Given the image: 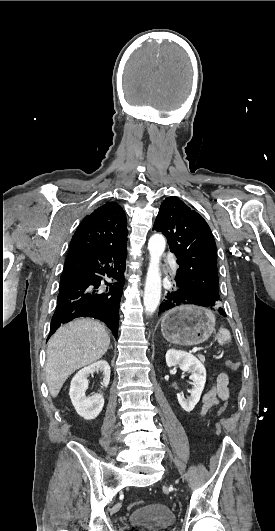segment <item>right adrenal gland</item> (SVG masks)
Masks as SVG:
<instances>
[{
  "label": "right adrenal gland",
  "mask_w": 275,
  "mask_h": 531,
  "mask_svg": "<svg viewBox=\"0 0 275 531\" xmlns=\"http://www.w3.org/2000/svg\"><path fill=\"white\" fill-rule=\"evenodd\" d=\"M109 349H113L112 345H110Z\"/></svg>",
  "instance_id": "right-adrenal-gland-1"
}]
</instances>
